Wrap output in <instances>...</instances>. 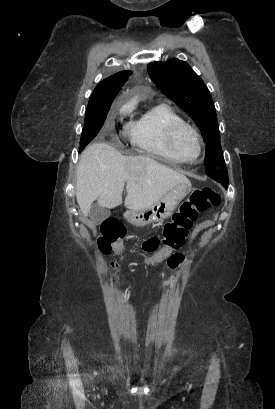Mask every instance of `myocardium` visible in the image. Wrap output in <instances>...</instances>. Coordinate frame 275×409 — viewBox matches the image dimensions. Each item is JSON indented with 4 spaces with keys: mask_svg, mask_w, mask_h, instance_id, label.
Returning a JSON list of instances; mask_svg holds the SVG:
<instances>
[{
    "mask_svg": "<svg viewBox=\"0 0 275 409\" xmlns=\"http://www.w3.org/2000/svg\"><path fill=\"white\" fill-rule=\"evenodd\" d=\"M184 130H188L193 135L196 145H197V153L194 157H200L201 152H202V143H201L199 133L192 125L186 122H180V123L173 125L169 131L168 147H169L172 157H179L175 149L176 140L179 134Z\"/></svg>",
    "mask_w": 275,
    "mask_h": 409,
    "instance_id": "obj_1",
    "label": "myocardium"
}]
</instances>
